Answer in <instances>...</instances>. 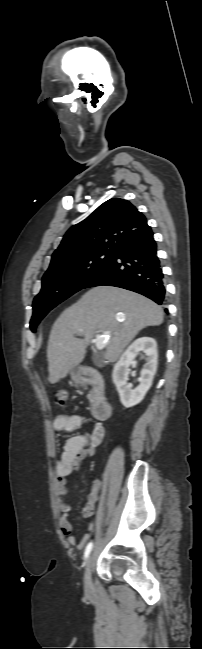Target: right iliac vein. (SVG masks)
Returning <instances> with one entry per match:
<instances>
[{
	"mask_svg": "<svg viewBox=\"0 0 202 649\" xmlns=\"http://www.w3.org/2000/svg\"><path fill=\"white\" fill-rule=\"evenodd\" d=\"M93 558H94V554L92 553L88 556L85 563L84 588L87 593H91L92 591L91 572H92Z\"/></svg>",
	"mask_w": 202,
	"mask_h": 649,
	"instance_id": "right-iliac-vein-1",
	"label": "right iliac vein"
}]
</instances>
